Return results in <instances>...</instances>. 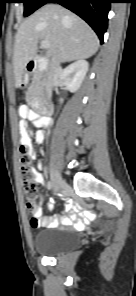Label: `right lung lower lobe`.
<instances>
[{"label": "right lung lower lobe", "instance_id": "98d812e1", "mask_svg": "<svg viewBox=\"0 0 136 296\" xmlns=\"http://www.w3.org/2000/svg\"><path fill=\"white\" fill-rule=\"evenodd\" d=\"M113 0H46L59 3L84 19L96 32L101 43L107 29V15Z\"/></svg>", "mask_w": 136, "mask_h": 296}]
</instances>
